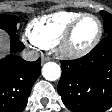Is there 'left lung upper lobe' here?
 I'll return each mask as SVG.
<instances>
[{"mask_svg": "<svg viewBox=\"0 0 112 112\" xmlns=\"http://www.w3.org/2000/svg\"><path fill=\"white\" fill-rule=\"evenodd\" d=\"M104 20V31L107 35L112 34V15L106 11L100 12Z\"/></svg>", "mask_w": 112, "mask_h": 112, "instance_id": "5c2ea615", "label": "left lung upper lobe"}]
</instances>
